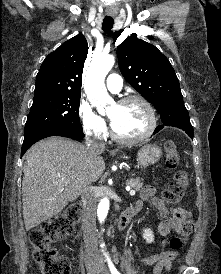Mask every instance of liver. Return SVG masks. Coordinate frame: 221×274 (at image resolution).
<instances>
[{"label": "liver", "instance_id": "obj_1", "mask_svg": "<svg viewBox=\"0 0 221 274\" xmlns=\"http://www.w3.org/2000/svg\"><path fill=\"white\" fill-rule=\"evenodd\" d=\"M103 151L91 152L78 142L51 137L26 152L22 203L27 231L60 213L101 177Z\"/></svg>", "mask_w": 221, "mask_h": 274}]
</instances>
